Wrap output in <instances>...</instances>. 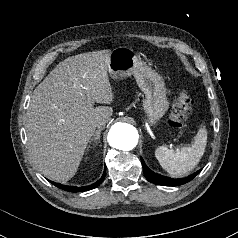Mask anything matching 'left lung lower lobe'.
Masks as SVG:
<instances>
[{"mask_svg":"<svg viewBox=\"0 0 238 238\" xmlns=\"http://www.w3.org/2000/svg\"><path fill=\"white\" fill-rule=\"evenodd\" d=\"M142 166H143V172L144 176L148 181L151 183L157 184V185H164V186H178V185H183L189 181H191L200 171L196 172L195 174L184 178V179H171V178H166L161 175H158L156 173H153L151 170H149L145 164L142 161Z\"/></svg>","mask_w":238,"mask_h":238,"instance_id":"0a47b994","label":"left lung lower lobe"}]
</instances>
